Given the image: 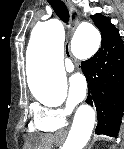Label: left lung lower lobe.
I'll return each instance as SVG.
<instances>
[{"label":"left lung lower lobe","instance_id":"left-lung-lower-lobe-1","mask_svg":"<svg viewBox=\"0 0 124 149\" xmlns=\"http://www.w3.org/2000/svg\"><path fill=\"white\" fill-rule=\"evenodd\" d=\"M88 83L86 102L96 107V134L117 137L124 112V44L120 35L102 37L101 47L81 63Z\"/></svg>","mask_w":124,"mask_h":149}]
</instances>
